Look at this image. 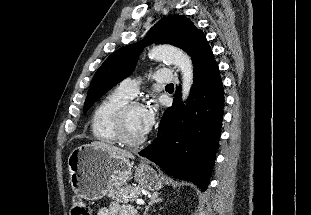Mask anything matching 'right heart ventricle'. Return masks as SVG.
<instances>
[{
    "mask_svg": "<svg viewBox=\"0 0 311 215\" xmlns=\"http://www.w3.org/2000/svg\"><path fill=\"white\" fill-rule=\"evenodd\" d=\"M130 99L116 89L98 103L91 119V132L97 141L105 144L119 143L115 130L114 117L118 108Z\"/></svg>",
    "mask_w": 311,
    "mask_h": 215,
    "instance_id": "right-heart-ventricle-1",
    "label": "right heart ventricle"
}]
</instances>
